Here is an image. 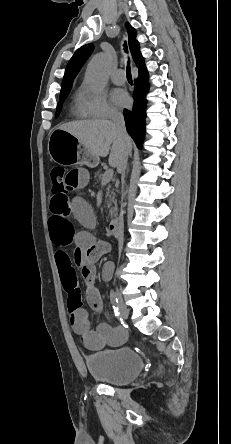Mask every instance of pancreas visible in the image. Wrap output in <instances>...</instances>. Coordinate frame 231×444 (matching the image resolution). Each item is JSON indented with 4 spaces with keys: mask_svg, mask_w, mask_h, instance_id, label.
Returning a JSON list of instances; mask_svg holds the SVG:
<instances>
[{
    "mask_svg": "<svg viewBox=\"0 0 231 444\" xmlns=\"http://www.w3.org/2000/svg\"><path fill=\"white\" fill-rule=\"evenodd\" d=\"M103 175H104V174H103L102 170L99 169V170L96 172V174H95V178H96V180L100 181V180L102 179ZM112 194L115 195L114 192H112Z\"/></svg>",
    "mask_w": 231,
    "mask_h": 444,
    "instance_id": "obj_1",
    "label": "pancreas"
}]
</instances>
